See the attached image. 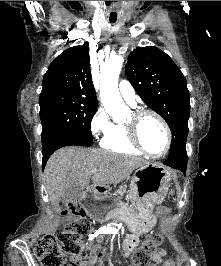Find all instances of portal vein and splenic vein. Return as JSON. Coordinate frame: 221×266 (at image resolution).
<instances>
[{
	"label": "portal vein and splenic vein",
	"mask_w": 221,
	"mask_h": 266,
	"mask_svg": "<svg viewBox=\"0 0 221 266\" xmlns=\"http://www.w3.org/2000/svg\"><path fill=\"white\" fill-rule=\"evenodd\" d=\"M98 172V169L94 168L91 170V173H97Z\"/></svg>",
	"instance_id": "obj_1"
}]
</instances>
